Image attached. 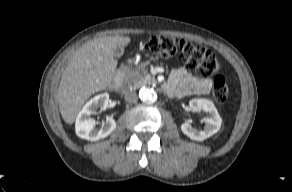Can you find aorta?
<instances>
[{"label": "aorta", "mask_w": 292, "mask_h": 192, "mask_svg": "<svg viewBox=\"0 0 292 192\" xmlns=\"http://www.w3.org/2000/svg\"><path fill=\"white\" fill-rule=\"evenodd\" d=\"M139 98L144 103H153L157 100V93L151 87H143L139 91Z\"/></svg>", "instance_id": "1"}]
</instances>
